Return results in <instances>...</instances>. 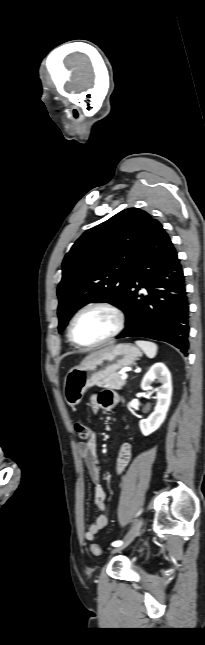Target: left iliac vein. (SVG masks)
I'll list each match as a JSON object with an SVG mask.
<instances>
[{"mask_svg": "<svg viewBox=\"0 0 205 645\" xmlns=\"http://www.w3.org/2000/svg\"><path fill=\"white\" fill-rule=\"evenodd\" d=\"M142 525H143V519L138 520L135 523V525L132 527L131 531L128 533L124 543H122L120 546L115 547L114 549H112L111 552L116 553V552L121 551L125 547H127L134 540V538L137 536V534L139 533Z\"/></svg>", "mask_w": 205, "mask_h": 645, "instance_id": "1", "label": "left iliac vein"}]
</instances>
